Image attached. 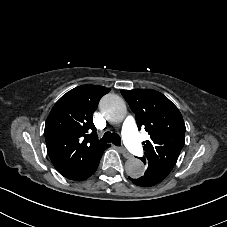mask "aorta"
Returning a JSON list of instances; mask_svg holds the SVG:
<instances>
[{
  "mask_svg": "<svg viewBox=\"0 0 227 227\" xmlns=\"http://www.w3.org/2000/svg\"><path fill=\"white\" fill-rule=\"evenodd\" d=\"M103 116L110 122H121L127 113L124 100L115 94L105 95L99 104ZM125 170L131 178H139L145 173V166L138 158H131L125 164Z\"/></svg>",
  "mask_w": 227,
  "mask_h": 227,
  "instance_id": "762f6f07",
  "label": "aorta"
}]
</instances>
